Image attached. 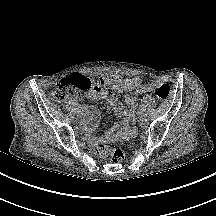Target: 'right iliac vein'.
<instances>
[{"mask_svg":"<svg viewBox=\"0 0 216 216\" xmlns=\"http://www.w3.org/2000/svg\"><path fill=\"white\" fill-rule=\"evenodd\" d=\"M84 117V114L81 112V113H77V118L78 119H82Z\"/></svg>","mask_w":216,"mask_h":216,"instance_id":"obj_1","label":"right iliac vein"}]
</instances>
